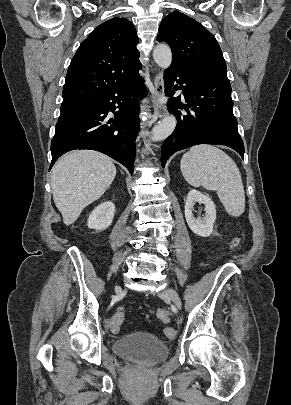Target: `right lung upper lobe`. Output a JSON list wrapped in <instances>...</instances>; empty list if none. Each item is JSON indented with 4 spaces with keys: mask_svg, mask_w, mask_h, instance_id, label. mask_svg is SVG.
<instances>
[{
    "mask_svg": "<svg viewBox=\"0 0 291 405\" xmlns=\"http://www.w3.org/2000/svg\"><path fill=\"white\" fill-rule=\"evenodd\" d=\"M133 24L112 18L81 43L63 87V103L89 102L107 88L127 81L141 69Z\"/></svg>",
    "mask_w": 291,
    "mask_h": 405,
    "instance_id": "obj_1",
    "label": "right lung upper lobe"
}]
</instances>
